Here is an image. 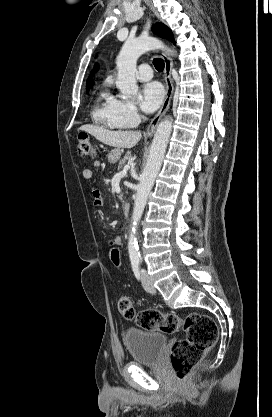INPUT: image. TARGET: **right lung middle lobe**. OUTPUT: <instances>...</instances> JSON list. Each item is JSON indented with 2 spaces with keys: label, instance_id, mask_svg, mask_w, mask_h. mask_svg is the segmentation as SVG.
I'll return each instance as SVG.
<instances>
[{
  "label": "right lung middle lobe",
  "instance_id": "dd1d6c3e",
  "mask_svg": "<svg viewBox=\"0 0 272 417\" xmlns=\"http://www.w3.org/2000/svg\"><path fill=\"white\" fill-rule=\"evenodd\" d=\"M86 89H87V92H88L90 88H86Z\"/></svg>",
  "mask_w": 272,
  "mask_h": 417
}]
</instances>
